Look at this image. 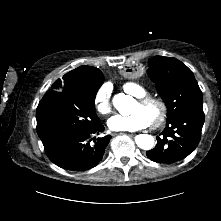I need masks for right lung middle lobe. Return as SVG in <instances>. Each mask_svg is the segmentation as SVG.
<instances>
[{"mask_svg":"<svg viewBox=\"0 0 221 221\" xmlns=\"http://www.w3.org/2000/svg\"><path fill=\"white\" fill-rule=\"evenodd\" d=\"M103 77L67 92L48 90L37 111V132L45 149L66 138L93 128L100 120L95 114L94 99Z\"/></svg>","mask_w":221,"mask_h":221,"instance_id":"1","label":"right lung middle lobe"}]
</instances>
